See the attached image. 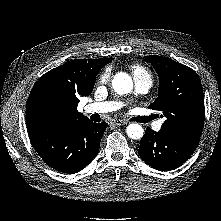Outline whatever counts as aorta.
Here are the masks:
<instances>
[{
	"instance_id": "obj_1",
	"label": "aorta",
	"mask_w": 221,
	"mask_h": 221,
	"mask_svg": "<svg viewBox=\"0 0 221 221\" xmlns=\"http://www.w3.org/2000/svg\"><path fill=\"white\" fill-rule=\"evenodd\" d=\"M113 89L117 94H127L133 88V82L131 77L124 72L117 73L112 81ZM127 135L131 139H140L143 136V127L139 124L133 123L127 126Z\"/></svg>"
}]
</instances>
